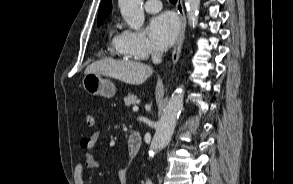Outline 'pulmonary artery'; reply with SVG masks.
Instances as JSON below:
<instances>
[{
    "mask_svg": "<svg viewBox=\"0 0 293 184\" xmlns=\"http://www.w3.org/2000/svg\"><path fill=\"white\" fill-rule=\"evenodd\" d=\"M144 8L148 13H157L162 9V4L159 0H147Z\"/></svg>",
    "mask_w": 293,
    "mask_h": 184,
    "instance_id": "obj_1",
    "label": "pulmonary artery"
}]
</instances>
